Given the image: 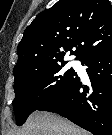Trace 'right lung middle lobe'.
Returning a JSON list of instances; mask_svg holds the SVG:
<instances>
[{
  "instance_id": "dd1d6c3e",
  "label": "right lung middle lobe",
  "mask_w": 112,
  "mask_h": 135,
  "mask_svg": "<svg viewBox=\"0 0 112 135\" xmlns=\"http://www.w3.org/2000/svg\"><path fill=\"white\" fill-rule=\"evenodd\" d=\"M66 63H49L36 72L15 78L13 107L18 126L23 125L32 112L59 96L73 83L77 73L73 68L63 70Z\"/></svg>"
}]
</instances>
